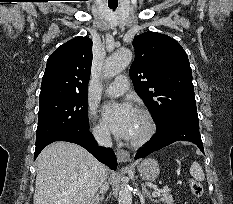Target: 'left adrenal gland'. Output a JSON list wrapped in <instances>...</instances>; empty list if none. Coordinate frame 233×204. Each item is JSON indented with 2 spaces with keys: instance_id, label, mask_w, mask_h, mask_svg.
<instances>
[{
  "instance_id": "a2214340",
  "label": "left adrenal gland",
  "mask_w": 233,
  "mask_h": 204,
  "mask_svg": "<svg viewBox=\"0 0 233 204\" xmlns=\"http://www.w3.org/2000/svg\"><path fill=\"white\" fill-rule=\"evenodd\" d=\"M142 193H143V198L148 197L150 201H153L154 203H157L158 201L152 197L150 192L147 190L146 186L142 184Z\"/></svg>"
}]
</instances>
